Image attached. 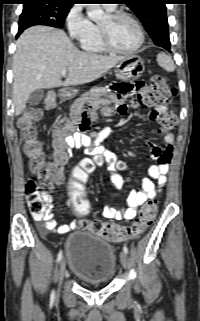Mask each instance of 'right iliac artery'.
I'll use <instances>...</instances> for the list:
<instances>
[{
	"instance_id": "right-iliac-artery-1",
	"label": "right iliac artery",
	"mask_w": 200,
	"mask_h": 321,
	"mask_svg": "<svg viewBox=\"0 0 200 321\" xmlns=\"http://www.w3.org/2000/svg\"><path fill=\"white\" fill-rule=\"evenodd\" d=\"M62 257H63V252H62V250H61V251L58 253V256H57V262H60L61 259H62ZM54 299H55V292H54V290H52L51 295H50V300H51V301H54Z\"/></svg>"
}]
</instances>
